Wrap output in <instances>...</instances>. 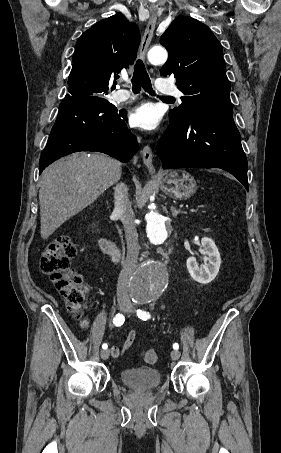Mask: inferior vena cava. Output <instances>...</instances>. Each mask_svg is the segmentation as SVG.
Returning a JSON list of instances; mask_svg holds the SVG:
<instances>
[{
    "mask_svg": "<svg viewBox=\"0 0 281 453\" xmlns=\"http://www.w3.org/2000/svg\"><path fill=\"white\" fill-rule=\"evenodd\" d=\"M114 194L115 202L113 212L114 214H118L123 222L127 243V257L118 279L117 299L118 301H127V303H130L128 285L137 267L140 249L138 233L134 222V212L128 198V186H126L124 182H122V184H117V186H115Z\"/></svg>",
    "mask_w": 281,
    "mask_h": 453,
    "instance_id": "obj_1",
    "label": "inferior vena cava"
}]
</instances>
